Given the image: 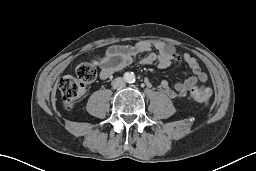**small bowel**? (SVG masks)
<instances>
[{
  "instance_id": "c3829d8e",
  "label": "small bowel",
  "mask_w": 256,
  "mask_h": 171,
  "mask_svg": "<svg viewBox=\"0 0 256 171\" xmlns=\"http://www.w3.org/2000/svg\"><path fill=\"white\" fill-rule=\"evenodd\" d=\"M137 56H140L139 64L156 63L161 69L168 68L173 62L187 64L192 75L185 81L176 82L171 88L170 83L163 80L158 86V89L171 99L185 97L192 88L207 81V74L195 57L189 53L179 56L172 44L163 41H141L133 45L109 47L100 60V78L107 79L113 73L130 66ZM146 84L150 85V82L147 80Z\"/></svg>"
}]
</instances>
